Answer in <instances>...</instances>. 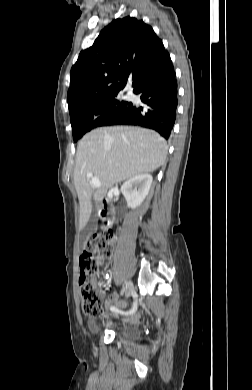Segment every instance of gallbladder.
<instances>
[{
	"mask_svg": "<svg viewBox=\"0 0 252 390\" xmlns=\"http://www.w3.org/2000/svg\"><path fill=\"white\" fill-rule=\"evenodd\" d=\"M96 228H97V215L93 213L90 216V219L85 225V227L80 232L81 239L82 240L87 239L91 234L95 232Z\"/></svg>",
	"mask_w": 252,
	"mask_h": 390,
	"instance_id": "obj_1",
	"label": "gallbladder"
}]
</instances>
